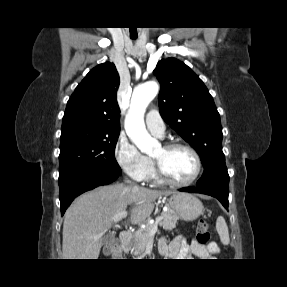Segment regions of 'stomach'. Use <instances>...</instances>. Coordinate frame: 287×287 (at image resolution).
<instances>
[{
    "instance_id": "0dacf381",
    "label": "stomach",
    "mask_w": 287,
    "mask_h": 287,
    "mask_svg": "<svg viewBox=\"0 0 287 287\" xmlns=\"http://www.w3.org/2000/svg\"><path fill=\"white\" fill-rule=\"evenodd\" d=\"M168 206L177 218L184 221L197 219L203 211L202 202L192 194L174 192L168 199Z\"/></svg>"
}]
</instances>
